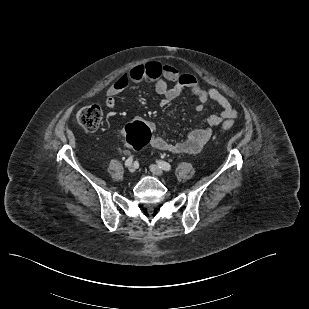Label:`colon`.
<instances>
[{
  "mask_svg": "<svg viewBox=\"0 0 309 309\" xmlns=\"http://www.w3.org/2000/svg\"><path fill=\"white\" fill-rule=\"evenodd\" d=\"M102 110L97 105H88L81 108L77 114L78 123L88 131H95L101 122ZM223 130H230L233 122L224 121L221 125ZM126 140L134 150H140L147 145L151 138V131L142 121L128 123L125 127Z\"/></svg>",
  "mask_w": 309,
  "mask_h": 309,
  "instance_id": "1",
  "label": "colon"
}]
</instances>
